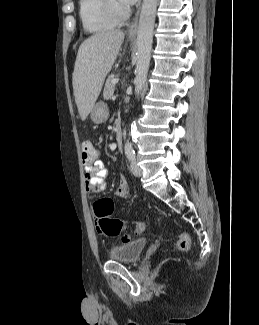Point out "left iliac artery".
<instances>
[{
	"mask_svg": "<svg viewBox=\"0 0 259 325\" xmlns=\"http://www.w3.org/2000/svg\"><path fill=\"white\" fill-rule=\"evenodd\" d=\"M125 154L129 160H134L135 159V151L131 145V143H127L125 145Z\"/></svg>",
	"mask_w": 259,
	"mask_h": 325,
	"instance_id": "44dca946",
	"label": "left iliac artery"
}]
</instances>
